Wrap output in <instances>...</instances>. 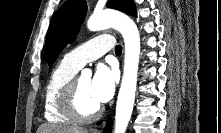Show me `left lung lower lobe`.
Wrapping results in <instances>:
<instances>
[{
	"label": "left lung lower lobe",
	"mask_w": 221,
	"mask_h": 133,
	"mask_svg": "<svg viewBox=\"0 0 221 133\" xmlns=\"http://www.w3.org/2000/svg\"><path fill=\"white\" fill-rule=\"evenodd\" d=\"M111 126H112V122L111 120L109 119L107 124H106V127L104 129V133H110L111 132Z\"/></svg>",
	"instance_id": "1"
}]
</instances>
